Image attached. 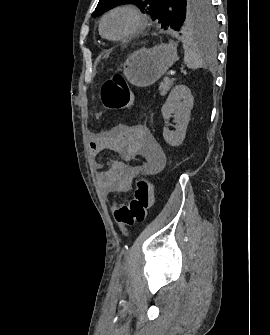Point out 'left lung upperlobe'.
I'll use <instances>...</instances> for the list:
<instances>
[{"mask_svg": "<svg viewBox=\"0 0 270 335\" xmlns=\"http://www.w3.org/2000/svg\"><path fill=\"white\" fill-rule=\"evenodd\" d=\"M123 4H134L151 14L165 30L190 33L212 30L215 26L216 16L211 0H100L92 16H100Z\"/></svg>", "mask_w": 270, "mask_h": 335, "instance_id": "5c2ea615", "label": "left lung upper lobe"}]
</instances>
